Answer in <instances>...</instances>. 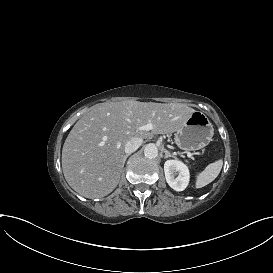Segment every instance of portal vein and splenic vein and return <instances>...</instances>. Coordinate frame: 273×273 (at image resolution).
Listing matches in <instances>:
<instances>
[{
    "label": "portal vein and splenic vein",
    "mask_w": 273,
    "mask_h": 273,
    "mask_svg": "<svg viewBox=\"0 0 273 273\" xmlns=\"http://www.w3.org/2000/svg\"><path fill=\"white\" fill-rule=\"evenodd\" d=\"M141 131H150L153 129V124L152 123H148L147 125L141 126L138 128ZM187 156L189 158H191L192 154L190 152L187 153Z\"/></svg>",
    "instance_id": "1"
}]
</instances>
